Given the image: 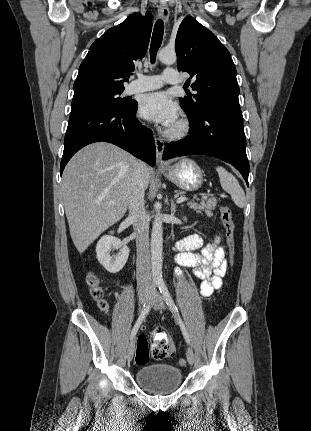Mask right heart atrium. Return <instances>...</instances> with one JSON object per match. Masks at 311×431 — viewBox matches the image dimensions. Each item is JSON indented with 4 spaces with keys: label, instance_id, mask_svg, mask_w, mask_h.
Here are the masks:
<instances>
[{
    "label": "right heart atrium",
    "instance_id": "obj_1",
    "mask_svg": "<svg viewBox=\"0 0 311 431\" xmlns=\"http://www.w3.org/2000/svg\"><path fill=\"white\" fill-rule=\"evenodd\" d=\"M141 126H142V127H145V123H144V122H142V123H141Z\"/></svg>",
    "mask_w": 311,
    "mask_h": 431
}]
</instances>
